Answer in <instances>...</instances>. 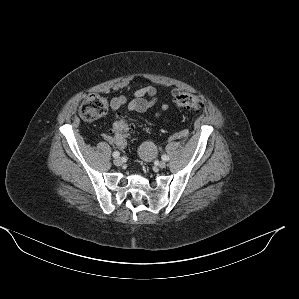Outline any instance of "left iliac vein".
<instances>
[{"label":"left iliac vein","mask_w":299,"mask_h":299,"mask_svg":"<svg viewBox=\"0 0 299 299\" xmlns=\"http://www.w3.org/2000/svg\"><path fill=\"white\" fill-rule=\"evenodd\" d=\"M166 165H167V164H166L165 161H160V162L158 163V167L161 168V169L165 168Z\"/></svg>","instance_id":"obj_1"}]
</instances>
